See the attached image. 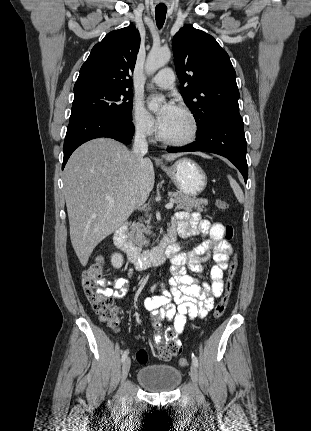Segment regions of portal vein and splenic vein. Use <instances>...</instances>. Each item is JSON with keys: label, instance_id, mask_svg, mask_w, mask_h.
I'll list each match as a JSON object with an SVG mask.
<instances>
[{"label": "portal vein and splenic vein", "instance_id": "1", "mask_svg": "<svg viewBox=\"0 0 311 431\" xmlns=\"http://www.w3.org/2000/svg\"><path fill=\"white\" fill-rule=\"evenodd\" d=\"M108 200H109V206H113V204H115V200H113V198H108ZM173 206H174V202H169V204H166L165 208L166 210H171Z\"/></svg>", "mask_w": 311, "mask_h": 431}]
</instances>
